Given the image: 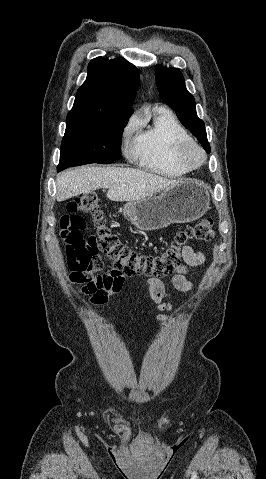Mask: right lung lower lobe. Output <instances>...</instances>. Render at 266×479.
<instances>
[{"instance_id": "98d812e1", "label": "right lung lower lobe", "mask_w": 266, "mask_h": 479, "mask_svg": "<svg viewBox=\"0 0 266 479\" xmlns=\"http://www.w3.org/2000/svg\"><path fill=\"white\" fill-rule=\"evenodd\" d=\"M57 171L59 172V171H61V170H60L59 168H57Z\"/></svg>"}]
</instances>
